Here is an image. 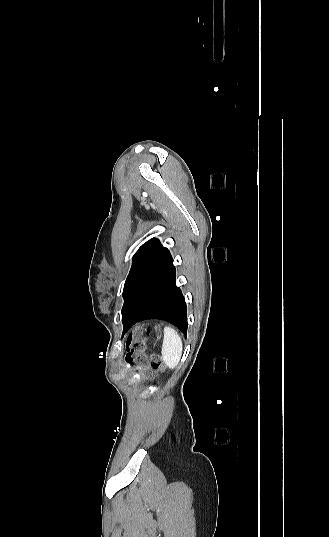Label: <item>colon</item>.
Returning a JSON list of instances; mask_svg holds the SVG:
<instances>
[{"instance_id":"colon-1","label":"colon","mask_w":329,"mask_h":537,"mask_svg":"<svg viewBox=\"0 0 329 537\" xmlns=\"http://www.w3.org/2000/svg\"><path fill=\"white\" fill-rule=\"evenodd\" d=\"M147 335L148 333L144 329L134 331L127 341L125 357V361L130 367L145 375L162 369V361L159 355L151 354L147 356L145 353Z\"/></svg>"}]
</instances>
